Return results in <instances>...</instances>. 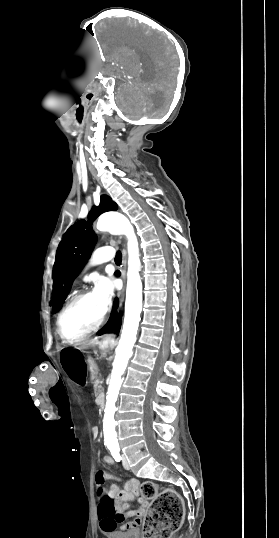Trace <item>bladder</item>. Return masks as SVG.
<instances>
[{"label":"bladder","instance_id":"1","mask_svg":"<svg viewBox=\"0 0 279 538\" xmlns=\"http://www.w3.org/2000/svg\"><path fill=\"white\" fill-rule=\"evenodd\" d=\"M107 538H139L138 532H108Z\"/></svg>","mask_w":279,"mask_h":538}]
</instances>
